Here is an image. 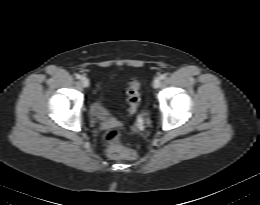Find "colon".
Returning <instances> with one entry per match:
<instances>
[{
	"label": "colon",
	"mask_w": 260,
	"mask_h": 205,
	"mask_svg": "<svg viewBox=\"0 0 260 205\" xmlns=\"http://www.w3.org/2000/svg\"><path fill=\"white\" fill-rule=\"evenodd\" d=\"M140 81L132 80L127 89V101L129 104V114L135 115L140 104ZM123 133L119 129H113L106 133L105 143L107 154L112 158H123L134 160L137 153L134 150L124 148L121 144Z\"/></svg>",
	"instance_id": "5ec220e1"
}]
</instances>
